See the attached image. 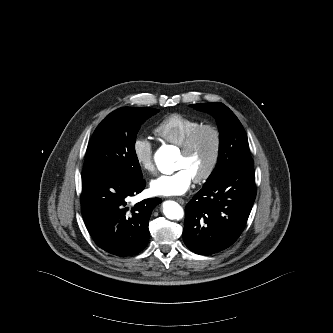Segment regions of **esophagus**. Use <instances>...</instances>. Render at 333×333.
<instances>
[{"label":"esophagus","mask_w":333,"mask_h":333,"mask_svg":"<svg viewBox=\"0 0 333 333\" xmlns=\"http://www.w3.org/2000/svg\"><path fill=\"white\" fill-rule=\"evenodd\" d=\"M175 200H176L178 203H180V204H184V203H185V201H184L182 198H179V197L175 198Z\"/></svg>","instance_id":"esophagus-1"}]
</instances>
